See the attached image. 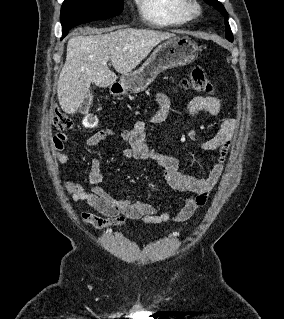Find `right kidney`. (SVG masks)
Here are the masks:
<instances>
[{
  "label": "right kidney",
  "mask_w": 284,
  "mask_h": 319,
  "mask_svg": "<svg viewBox=\"0 0 284 319\" xmlns=\"http://www.w3.org/2000/svg\"><path fill=\"white\" fill-rule=\"evenodd\" d=\"M83 126H85L86 128H92L97 126L98 124V119L96 117H91V116H86L83 119Z\"/></svg>",
  "instance_id": "1"
}]
</instances>
